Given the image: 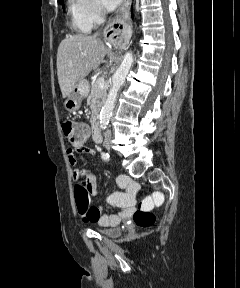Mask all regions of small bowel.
<instances>
[{
    "instance_id": "1",
    "label": "small bowel",
    "mask_w": 240,
    "mask_h": 288,
    "mask_svg": "<svg viewBox=\"0 0 240 288\" xmlns=\"http://www.w3.org/2000/svg\"><path fill=\"white\" fill-rule=\"evenodd\" d=\"M86 138L83 142L74 144L73 148L67 150V156L70 164L76 163V153L83 152L87 155H94L92 148L86 147L85 142L88 138V129L85 127ZM73 179L85 178L84 182H78L75 185V202L77 210L85 223H98L105 226L117 225L122 218L128 217L135 205L136 187L126 178H119L118 184L126 188L125 192H114L108 198L109 206L117 207L120 211L117 214L107 215L101 206H90L91 196L98 193L97 177L93 170L89 168H75L72 172Z\"/></svg>"
}]
</instances>
